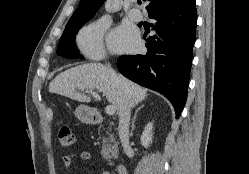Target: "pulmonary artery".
I'll list each match as a JSON object with an SVG mask.
<instances>
[{
  "label": "pulmonary artery",
  "instance_id": "obj_1",
  "mask_svg": "<svg viewBox=\"0 0 249 174\" xmlns=\"http://www.w3.org/2000/svg\"><path fill=\"white\" fill-rule=\"evenodd\" d=\"M128 15L130 19L135 22H140L143 20V15L138 9H130Z\"/></svg>",
  "mask_w": 249,
  "mask_h": 174
}]
</instances>
